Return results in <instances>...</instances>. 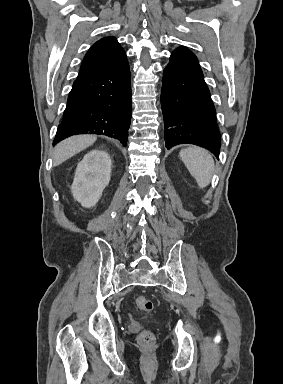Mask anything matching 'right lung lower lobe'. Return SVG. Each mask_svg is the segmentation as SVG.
I'll return each instance as SVG.
<instances>
[{"label":"right lung lower lobe","mask_w":283,"mask_h":384,"mask_svg":"<svg viewBox=\"0 0 283 384\" xmlns=\"http://www.w3.org/2000/svg\"><path fill=\"white\" fill-rule=\"evenodd\" d=\"M132 115L128 61L122 66L77 78L53 145L77 134H103L125 146Z\"/></svg>","instance_id":"obj_1"}]
</instances>
